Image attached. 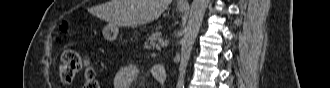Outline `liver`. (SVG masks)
Instances as JSON below:
<instances>
[{
  "label": "liver",
  "instance_id": "obj_1",
  "mask_svg": "<svg viewBox=\"0 0 330 88\" xmlns=\"http://www.w3.org/2000/svg\"><path fill=\"white\" fill-rule=\"evenodd\" d=\"M171 2L172 0H110L101 6L98 15L110 25L137 26L157 19Z\"/></svg>",
  "mask_w": 330,
  "mask_h": 88
}]
</instances>
